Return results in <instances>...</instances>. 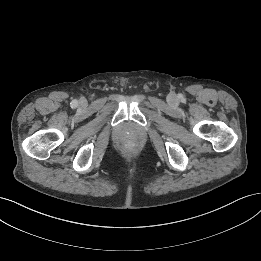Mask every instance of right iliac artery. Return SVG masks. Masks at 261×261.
Segmentation results:
<instances>
[{
    "mask_svg": "<svg viewBox=\"0 0 261 261\" xmlns=\"http://www.w3.org/2000/svg\"><path fill=\"white\" fill-rule=\"evenodd\" d=\"M72 107H75L77 105V101L76 100H73L72 103H71Z\"/></svg>",
    "mask_w": 261,
    "mask_h": 261,
    "instance_id": "right-iliac-artery-1",
    "label": "right iliac artery"
}]
</instances>
